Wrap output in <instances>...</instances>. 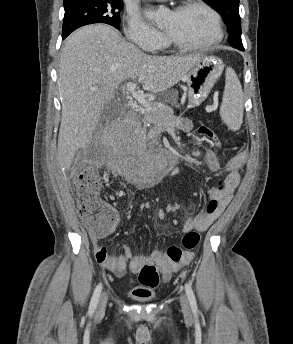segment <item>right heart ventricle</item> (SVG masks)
<instances>
[{
	"label": "right heart ventricle",
	"mask_w": 293,
	"mask_h": 344,
	"mask_svg": "<svg viewBox=\"0 0 293 344\" xmlns=\"http://www.w3.org/2000/svg\"><path fill=\"white\" fill-rule=\"evenodd\" d=\"M168 48V45L166 42H163L156 50L157 51H163L166 50ZM155 51V50H154Z\"/></svg>",
	"instance_id": "right-heart-ventricle-1"
}]
</instances>
